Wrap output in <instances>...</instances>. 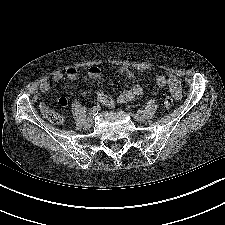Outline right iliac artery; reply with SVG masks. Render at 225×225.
Returning a JSON list of instances; mask_svg holds the SVG:
<instances>
[{
  "instance_id": "1",
  "label": "right iliac artery",
  "mask_w": 225,
  "mask_h": 225,
  "mask_svg": "<svg viewBox=\"0 0 225 225\" xmlns=\"http://www.w3.org/2000/svg\"><path fill=\"white\" fill-rule=\"evenodd\" d=\"M100 110V105H95L91 108V110L89 111V117H93L96 116L98 114V111Z\"/></svg>"
}]
</instances>
